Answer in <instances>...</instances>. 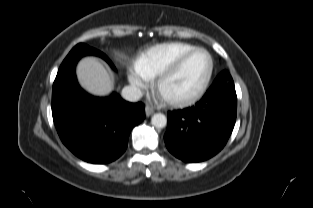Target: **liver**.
I'll return each mask as SVG.
<instances>
[{
	"instance_id": "liver-1",
	"label": "liver",
	"mask_w": 313,
	"mask_h": 208,
	"mask_svg": "<svg viewBox=\"0 0 313 208\" xmlns=\"http://www.w3.org/2000/svg\"><path fill=\"white\" fill-rule=\"evenodd\" d=\"M76 74L81 86L93 95L105 96L113 89V79L94 57L82 58L77 64Z\"/></svg>"
}]
</instances>
